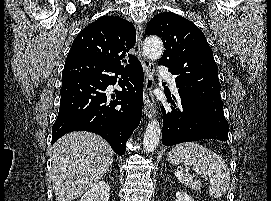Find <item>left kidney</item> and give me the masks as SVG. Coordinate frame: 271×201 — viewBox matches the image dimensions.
Listing matches in <instances>:
<instances>
[{
	"mask_svg": "<svg viewBox=\"0 0 271 201\" xmlns=\"http://www.w3.org/2000/svg\"><path fill=\"white\" fill-rule=\"evenodd\" d=\"M176 197L177 199L175 201H194L189 195L181 191L176 193Z\"/></svg>",
	"mask_w": 271,
	"mask_h": 201,
	"instance_id": "1",
	"label": "left kidney"
}]
</instances>
